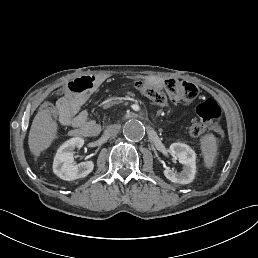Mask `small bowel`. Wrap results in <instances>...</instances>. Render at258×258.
Instances as JSON below:
<instances>
[{"mask_svg":"<svg viewBox=\"0 0 258 258\" xmlns=\"http://www.w3.org/2000/svg\"><path fill=\"white\" fill-rule=\"evenodd\" d=\"M100 78L92 75L82 76L70 81L63 97L57 102V114L60 123L78 129L87 136H94L100 130L99 124L90 117L82 106L101 86Z\"/></svg>","mask_w":258,"mask_h":258,"instance_id":"1","label":"small bowel"}]
</instances>
